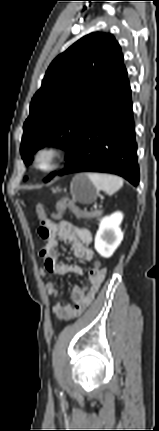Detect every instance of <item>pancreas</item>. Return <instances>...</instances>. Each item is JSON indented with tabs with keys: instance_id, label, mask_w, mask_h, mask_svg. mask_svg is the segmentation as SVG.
I'll use <instances>...</instances> for the list:
<instances>
[{
	"instance_id": "obj_1",
	"label": "pancreas",
	"mask_w": 159,
	"mask_h": 431,
	"mask_svg": "<svg viewBox=\"0 0 159 431\" xmlns=\"http://www.w3.org/2000/svg\"><path fill=\"white\" fill-rule=\"evenodd\" d=\"M86 217L87 218L99 217V213L98 212H91V213L87 214Z\"/></svg>"
}]
</instances>
